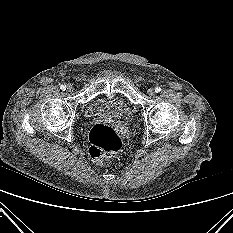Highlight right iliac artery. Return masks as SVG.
Segmentation results:
<instances>
[{"label":"right iliac artery","mask_w":233,"mask_h":233,"mask_svg":"<svg viewBox=\"0 0 233 233\" xmlns=\"http://www.w3.org/2000/svg\"><path fill=\"white\" fill-rule=\"evenodd\" d=\"M60 89H61L62 91H65V90H66V85H61V86H60Z\"/></svg>","instance_id":"obj_1"}]
</instances>
